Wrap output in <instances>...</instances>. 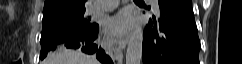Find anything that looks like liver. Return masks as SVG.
Segmentation results:
<instances>
[{"mask_svg": "<svg viewBox=\"0 0 242 64\" xmlns=\"http://www.w3.org/2000/svg\"><path fill=\"white\" fill-rule=\"evenodd\" d=\"M43 64H100L93 56L86 55L81 51L70 49H58L49 54Z\"/></svg>", "mask_w": 242, "mask_h": 64, "instance_id": "obj_1", "label": "liver"}]
</instances>
